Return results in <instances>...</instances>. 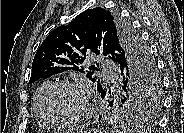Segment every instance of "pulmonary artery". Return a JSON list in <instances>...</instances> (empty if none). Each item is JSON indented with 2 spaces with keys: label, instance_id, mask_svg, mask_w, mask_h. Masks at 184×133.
<instances>
[{
  "label": "pulmonary artery",
  "instance_id": "pulmonary-artery-1",
  "mask_svg": "<svg viewBox=\"0 0 184 133\" xmlns=\"http://www.w3.org/2000/svg\"><path fill=\"white\" fill-rule=\"evenodd\" d=\"M101 68L104 73V75L112 80L114 78V74L112 73V69L114 68L113 63L108 60H102L101 61Z\"/></svg>",
  "mask_w": 184,
  "mask_h": 133
}]
</instances>
